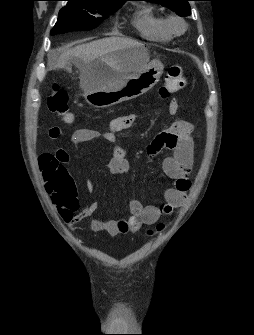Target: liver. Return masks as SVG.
Segmentation results:
<instances>
[{"mask_svg": "<svg viewBox=\"0 0 254 335\" xmlns=\"http://www.w3.org/2000/svg\"><path fill=\"white\" fill-rule=\"evenodd\" d=\"M141 43L125 37H108L78 45L72 49L64 50L56 61L55 68L68 67L69 61L73 60L80 70V86L89 69L90 64L97 58L108 57L113 52L128 47L139 46ZM128 77L127 74H117L113 78L114 84L121 83ZM83 88V87H82Z\"/></svg>", "mask_w": 254, "mask_h": 335, "instance_id": "6515ba94", "label": "liver"}]
</instances>
